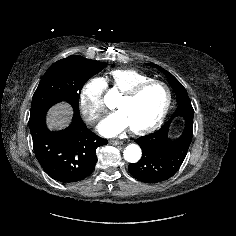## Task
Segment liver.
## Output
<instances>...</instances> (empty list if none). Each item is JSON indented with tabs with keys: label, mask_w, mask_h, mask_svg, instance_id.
I'll return each mask as SVG.
<instances>
[{
	"label": "liver",
	"mask_w": 236,
	"mask_h": 236,
	"mask_svg": "<svg viewBox=\"0 0 236 236\" xmlns=\"http://www.w3.org/2000/svg\"><path fill=\"white\" fill-rule=\"evenodd\" d=\"M72 110L67 103L57 104L49 111L48 123L50 129H61L71 121Z\"/></svg>",
	"instance_id": "liver-1"
}]
</instances>
